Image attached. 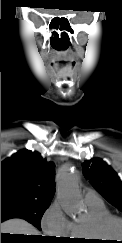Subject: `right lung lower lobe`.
<instances>
[{
  "label": "right lung lower lobe",
  "mask_w": 122,
  "mask_h": 243,
  "mask_svg": "<svg viewBox=\"0 0 122 243\" xmlns=\"http://www.w3.org/2000/svg\"><path fill=\"white\" fill-rule=\"evenodd\" d=\"M10 218H17V217H10V216H6V215H1V222L5 221L7 219H10ZM41 242L42 243H52L53 240L44 238V239H41Z\"/></svg>",
  "instance_id": "obj_1"
}]
</instances>
